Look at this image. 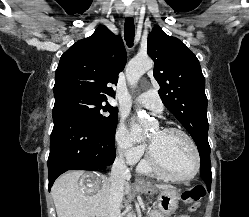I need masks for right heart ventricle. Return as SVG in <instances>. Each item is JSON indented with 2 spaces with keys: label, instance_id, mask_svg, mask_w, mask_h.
I'll return each instance as SVG.
<instances>
[{
  "label": "right heart ventricle",
  "instance_id": "1",
  "mask_svg": "<svg viewBox=\"0 0 249 217\" xmlns=\"http://www.w3.org/2000/svg\"><path fill=\"white\" fill-rule=\"evenodd\" d=\"M139 171L145 174H153V171L151 170V168L149 167L147 161H143L140 165H139Z\"/></svg>",
  "mask_w": 249,
  "mask_h": 217
}]
</instances>
